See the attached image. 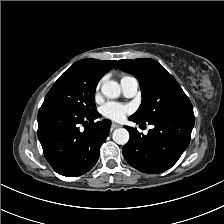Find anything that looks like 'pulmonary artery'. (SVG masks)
<instances>
[{
  "label": "pulmonary artery",
  "mask_w": 224,
  "mask_h": 224,
  "mask_svg": "<svg viewBox=\"0 0 224 224\" xmlns=\"http://www.w3.org/2000/svg\"><path fill=\"white\" fill-rule=\"evenodd\" d=\"M123 94L126 97H133L138 91V81L134 77H126L120 82Z\"/></svg>",
  "instance_id": "pulmonary-artery-1"
}]
</instances>
